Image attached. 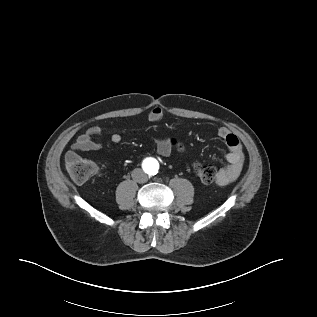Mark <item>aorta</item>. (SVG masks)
<instances>
[{"mask_svg":"<svg viewBox=\"0 0 317 317\" xmlns=\"http://www.w3.org/2000/svg\"><path fill=\"white\" fill-rule=\"evenodd\" d=\"M156 171H157V165L155 166V168H153V169L151 170V173H152V174H155Z\"/></svg>","mask_w":317,"mask_h":317,"instance_id":"obj_1","label":"aorta"}]
</instances>
